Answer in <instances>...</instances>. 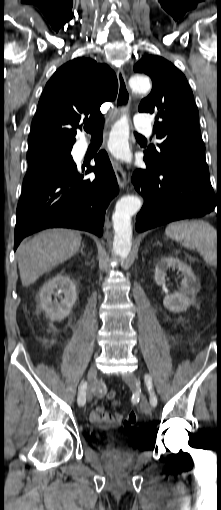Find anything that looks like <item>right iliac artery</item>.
Instances as JSON below:
<instances>
[{"label":"right iliac artery","mask_w":221,"mask_h":510,"mask_svg":"<svg viewBox=\"0 0 221 510\" xmlns=\"http://www.w3.org/2000/svg\"><path fill=\"white\" fill-rule=\"evenodd\" d=\"M86 389H87V382L82 381L79 386V393H78V399H77L79 406H84V404L86 402V397H85Z\"/></svg>","instance_id":"obj_1"}]
</instances>
